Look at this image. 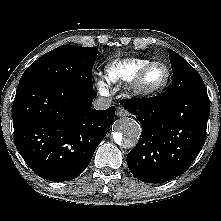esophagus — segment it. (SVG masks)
Instances as JSON below:
<instances>
[{
    "mask_svg": "<svg viewBox=\"0 0 221 221\" xmlns=\"http://www.w3.org/2000/svg\"><path fill=\"white\" fill-rule=\"evenodd\" d=\"M116 115L118 117L129 116V111H127L125 108L119 106L116 109Z\"/></svg>",
    "mask_w": 221,
    "mask_h": 221,
    "instance_id": "1",
    "label": "esophagus"
}]
</instances>
